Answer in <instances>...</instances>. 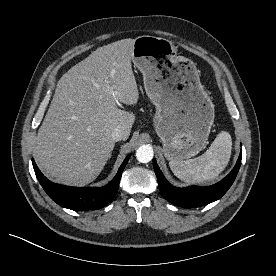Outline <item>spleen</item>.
<instances>
[{
	"instance_id": "spleen-1",
	"label": "spleen",
	"mask_w": 276,
	"mask_h": 276,
	"mask_svg": "<svg viewBox=\"0 0 276 276\" xmlns=\"http://www.w3.org/2000/svg\"><path fill=\"white\" fill-rule=\"evenodd\" d=\"M231 149L230 134L221 131L204 154L185 161L172 160L169 162V166L175 176L187 183L210 181L215 179L227 166Z\"/></svg>"
}]
</instances>
